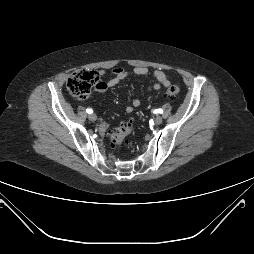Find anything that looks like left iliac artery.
<instances>
[{"label": "left iliac artery", "mask_w": 254, "mask_h": 254, "mask_svg": "<svg viewBox=\"0 0 254 254\" xmlns=\"http://www.w3.org/2000/svg\"><path fill=\"white\" fill-rule=\"evenodd\" d=\"M154 113L161 114L162 113V109H156V110H154Z\"/></svg>", "instance_id": "44dca946"}]
</instances>
